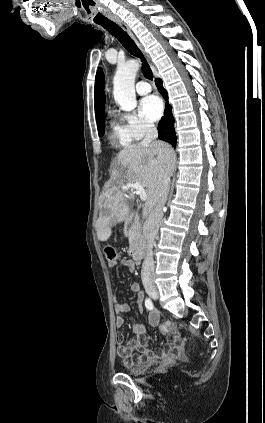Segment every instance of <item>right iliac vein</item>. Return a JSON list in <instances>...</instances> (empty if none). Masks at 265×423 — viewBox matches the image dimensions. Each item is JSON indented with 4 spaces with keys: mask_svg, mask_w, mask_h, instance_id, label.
Masks as SVG:
<instances>
[{
    "mask_svg": "<svg viewBox=\"0 0 265 423\" xmlns=\"http://www.w3.org/2000/svg\"><path fill=\"white\" fill-rule=\"evenodd\" d=\"M143 284L147 294L153 299H158L159 293L153 282L151 280H144Z\"/></svg>",
    "mask_w": 265,
    "mask_h": 423,
    "instance_id": "1",
    "label": "right iliac vein"
}]
</instances>
